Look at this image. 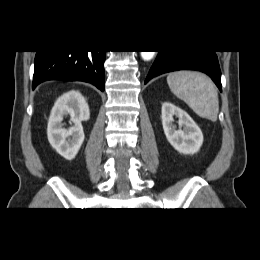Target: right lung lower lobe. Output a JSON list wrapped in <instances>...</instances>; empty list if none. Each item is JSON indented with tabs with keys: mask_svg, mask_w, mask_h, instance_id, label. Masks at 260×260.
I'll list each match as a JSON object with an SVG mask.
<instances>
[{
	"mask_svg": "<svg viewBox=\"0 0 260 260\" xmlns=\"http://www.w3.org/2000/svg\"><path fill=\"white\" fill-rule=\"evenodd\" d=\"M106 51H37L32 88L47 80L84 81L104 91Z\"/></svg>",
	"mask_w": 260,
	"mask_h": 260,
	"instance_id": "obj_1",
	"label": "right lung lower lobe"
}]
</instances>
